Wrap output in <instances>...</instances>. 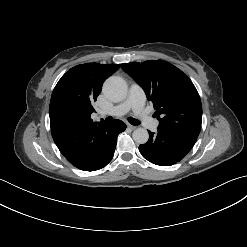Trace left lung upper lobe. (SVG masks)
<instances>
[{
    "instance_id": "1",
    "label": "left lung upper lobe",
    "mask_w": 247,
    "mask_h": 247,
    "mask_svg": "<svg viewBox=\"0 0 247 247\" xmlns=\"http://www.w3.org/2000/svg\"><path fill=\"white\" fill-rule=\"evenodd\" d=\"M145 91L156 109L159 127L199 135L202 105L189 77L164 60L121 64Z\"/></svg>"
}]
</instances>
